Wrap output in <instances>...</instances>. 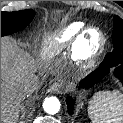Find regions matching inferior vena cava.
Wrapping results in <instances>:
<instances>
[{
	"label": "inferior vena cava",
	"mask_w": 123,
	"mask_h": 123,
	"mask_svg": "<svg viewBox=\"0 0 123 123\" xmlns=\"http://www.w3.org/2000/svg\"><path fill=\"white\" fill-rule=\"evenodd\" d=\"M21 88L25 94H32L40 88V81L37 76L27 77L22 81Z\"/></svg>",
	"instance_id": "inferior-vena-cava-1"
}]
</instances>
